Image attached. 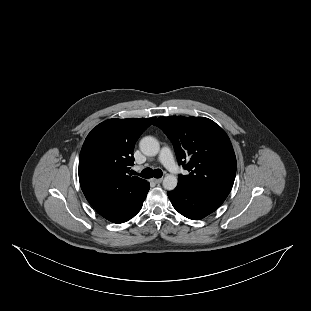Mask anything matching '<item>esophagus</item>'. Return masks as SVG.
I'll return each instance as SVG.
<instances>
[{"instance_id": "esophagus-1", "label": "esophagus", "mask_w": 311, "mask_h": 311, "mask_svg": "<svg viewBox=\"0 0 311 311\" xmlns=\"http://www.w3.org/2000/svg\"><path fill=\"white\" fill-rule=\"evenodd\" d=\"M153 181L158 184L161 183L163 181V178H159V179H153Z\"/></svg>"}]
</instances>
